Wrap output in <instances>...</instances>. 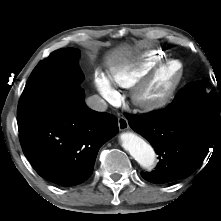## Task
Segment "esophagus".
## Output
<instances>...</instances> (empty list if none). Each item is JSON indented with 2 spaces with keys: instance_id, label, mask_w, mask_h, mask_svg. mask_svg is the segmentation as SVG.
Returning a JSON list of instances; mask_svg holds the SVG:
<instances>
[{
  "instance_id": "obj_1",
  "label": "esophagus",
  "mask_w": 221,
  "mask_h": 221,
  "mask_svg": "<svg viewBox=\"0 0 221 221\" xmlns=\"http://www.w3.org/2000/svg\"><path fill=\"white\" fill-rule=\"evenodd\" d=\"M118 126L120 131H125L129 128L128 121L125 117H119Z\"/></svg>"
}]
</instances>
